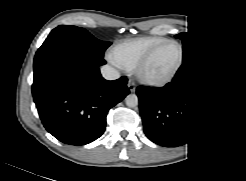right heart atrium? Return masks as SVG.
Wrapping results in <instances>:
<instances>
[{
  "label": "right heart atrium",
  "instance_id": "1",
  "mask_svg": "<svg viewBox=\"0 0 246 181\" xmlns=\"http://www.w3.org/2000/svg\"><path fill=\"white\" fill-rule=\"evenodd\" d=\"M110 61L116 66H123L120 60L116 57L115 53L109 55Z\"/></svg>",
  "mask_w": 246,
  "mask_h": 181
}]
</instances>
